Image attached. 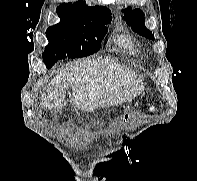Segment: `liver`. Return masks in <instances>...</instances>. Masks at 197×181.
Masks as SVG:
<instances>
[{
  "instance_id": "1",
  "label": "liver",
  "mask_w": 197,
  "mask_h": 181,
  "mask_svg": "<svg viewBox=\"0 0 197 181\" xmlns=\"http://www.w3.org/2000/svg\"><path fill=\"white\" fill-rule=\"evenodd\" d=\"M67 87L72 89L68 101L84 112H92L97 107L131 101L144 90V83L135 71L113 60H76L53 78L42 96V105L48 109L66 106L64 90Z\"/></svg>"
}]
</instances>
